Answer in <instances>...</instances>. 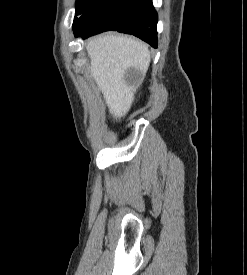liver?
I'll return each instance as SVG.
<instances>
[{"instance_id":"liver-1","label":"liver","mask_w":247,"mask_h":275,"mask_svg":"<svg viewBox=\"0 0 247 275\" xmlns=\"http://www.w3.org/2000/svg\"><path fill=\"white\" fill-rule=\"evenodd\" d=\"M86 49L91 75L102 92L114 119L124 117L131 108L137 85L125 80V72L133 68L144 78L150 65L148 46L132 37L102 35L91 38Z\"/></svg>"}]
</instances>
